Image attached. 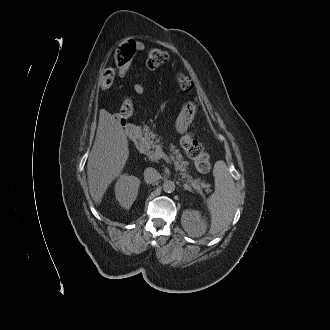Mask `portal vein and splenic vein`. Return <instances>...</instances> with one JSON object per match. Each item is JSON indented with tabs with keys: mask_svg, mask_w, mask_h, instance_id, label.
I'll list each match as a JSON object with an SVG mask.
<instances>
[{
	"mask_svg": "<svg viewBox=\"0 0 330 330\" xmlns=\"http://www.w3.org/2000/svg\"><path fill=\"white\" fill-rule=\"evenodd\" d=\"M155 155L157 159L163 158L165 159L167 162H170L169 157L162 151V148L160 145H157V148L155 150Z\"/></svg>",
	"mask_w": 330,
	"mask_h": 330,
	"instance_id": "portal-vein-and-splenic-vein-1",
	"label": "portal vein and splenic vein"
}]
</instances>
